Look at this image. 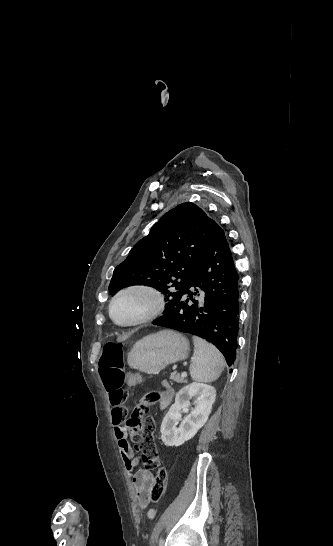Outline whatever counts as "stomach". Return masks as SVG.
<instances>
[{
  "label": "stomach",
  "mask_w": 333,
  "mask_h": 546,
  "mask_svg": "<svg viewBox=\"0 0 333 546\" xmlns=\"http://www.w3.org/2000/svg\"><path fill=\"white\" fill-rule=\"evenodd\" d=\"M189 352V341L181 333L162 330L137 341L127 362L131 368L157 375L169 364L184 360Z\"/></svg>",
  "instance_id": "obj_1"
}]
</instances>
